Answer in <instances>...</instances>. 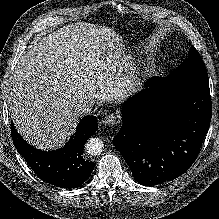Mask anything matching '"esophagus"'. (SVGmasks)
Instances as JSON below:
<instances>
[{"instance_id":"34e87169","label":"esophagus","mask_w":219,"mask_h":219,"mask_svg":"<svg viewBox=\"0 0 219 219\" xmlns=\"http://www.w3.org/2000/svg\"><path fill=\"white\" fill-rule=\"evenodd\" d=\"M102 123L105 126L113 127L119 123V119L114 113H108L103 117Z\"/></svg>"}]
</instances>
